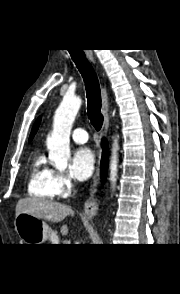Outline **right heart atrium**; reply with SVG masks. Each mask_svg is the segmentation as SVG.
Returning a JSON list of instances; mask_svg holds the SVG:
<instances>
[{
    "label": "right heart atrium",
    "instance_id": "right-heart-atrium-1",
    "mask_svg": "<svg viewBox=\"0 0 180 294\" xmlns=\"http://www.w3.org/2000/svg\"><path fill=\"white\" fill-rule=\"evenodd\" d=\"M55 185L57 188V195L63 197L72 189L73 181L69 174L56 171Z\"/></svg>",
    "mask_w": 180,
    "mask_h": 294
}]
</instances>
